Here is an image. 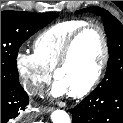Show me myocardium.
Instances as JSON below:
<instances>
[{"instance_id":"1","label":"myocardium","mask_w":123,"mask_h":123,"mask_svg":"<svg viewBox=\"0 0 123 123\" xmlns=\"http://www.w3.org/2000/svg\"><path fill=\"white\" fill-rule=\"evenodd\" d=\"M89 29H96L100 34L102 41V56L97 71L91 81L81 90L69 93L70 96L75 98L88 95L99 84L104 74L105 68L109 60V42L103 27L98 23L90 22L84 24L82 27L72 33L64 43L60 57L53 68V76L55 79H57L59 71L67 64L70 58L75 42L82 34H84Z\"/></svg>"}]
</instances>
